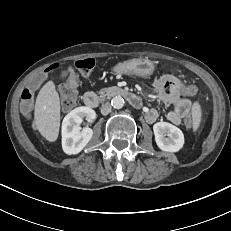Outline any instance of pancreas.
<instances>
[{"instance_id": "cf45deb5", "label": "pancreas", "mask_w": 231, "mask_h": 231, "mask_svg": "<svg viewBox=\"0 0 231 231\" xmlns=\"http://www.w3.org/2000/svg\"><path fill=\"white\" fill-rule=\"evenodd\" d=\"M109 89L104 88L102 90H100L99 94H100V98L103 100L106 97V93L108 92Z\"/></svg>"}]
</instances>
